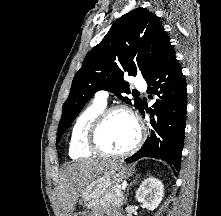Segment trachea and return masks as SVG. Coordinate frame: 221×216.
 <instances>
[{"label":"trachea","instance_id":"3493384b","mask_svg":"<svg viewBox=\"0 0 221 216\" xmlns=\"http://www.w3.org/2000/svg\"><path fill=\"white\" fill-rule=\"evenodd\" d=\"M133 94H139V92L138 91H134Z\"/></svg>","mask_w":221,"mask_h":216}]
</instances>
